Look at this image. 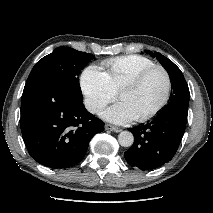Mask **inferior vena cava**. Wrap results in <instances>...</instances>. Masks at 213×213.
<instances>
[{
    "label": "inferior vena cava",
    "instance_id": "1",
    "mask_svg": "<svg viewBox=\"0 0 213 213\" xmlns=\"http://www.w3.org/2000/svg\"><path fill=\"white\" fill-rule=\"evenodd\" d=\"M85 107L88 111H90L91 113H95L96 111H98L99 109H101V105L91 102L89 100L85 101Z\"/></svg>",
    "mask_w": 213,
    "mask_h": 213
}]
</instances>
